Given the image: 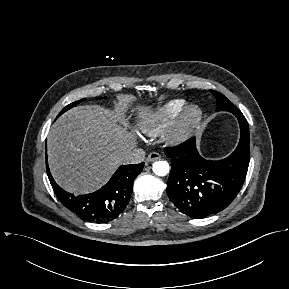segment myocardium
Listing matches in <instances>:
<instances>
[{"instance_id": "f54148a6", "label": "myocardium", "mask_w": 289, "mask_h": 289, "mask_svg": "<svg viewBox=\"0 0 289 289\" xmlns=\"http://www.w3.org/2000/svg\"><path fill=\"white\" fill-rule=\"evenodd\" d=\"M202 118V112L196 105L187 106L177 125L169 136V140L173 143H180L188 139Z\"/></svg>"}]
</instances>
